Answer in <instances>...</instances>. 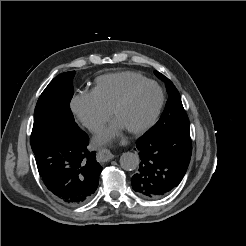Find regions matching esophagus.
<instances>
[{
    "instance_id": "obj_1",
    "label": "esophagus",
    "mask_w": 246,
    "mask_h": 246,
    "mask_svg": "<svg viewBox=\"0 0 246 246\" xmlns=\"http://www.w3.org/2000/svg\"><path fill=\"white\" fill-rule=\"evenodd\" d=\"M99 160L101 161H109L114 157V155L111 153L109 149L102 148L97 153Z\"/></svg>"
}]
</instances>
